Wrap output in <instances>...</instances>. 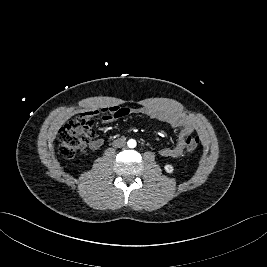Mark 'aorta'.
<instances>
[{
	"label": "aorta",
	"mask_w": 267,
	"mask_h": 267,
	"mask_svg": "<svg viewBox=\"0 0 267 267\" xmlns=\"http://www.w3.org/2000/svg\"><path fill=\"white\" fill-rule=\"evenodd\" d=\"M127 145H128L129 148H135L136 147V141L134 139H130L127 142Z\"/></svg>",
	"instance_id": "1"
}]
</instances>
